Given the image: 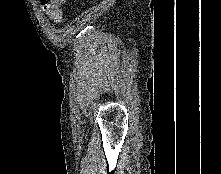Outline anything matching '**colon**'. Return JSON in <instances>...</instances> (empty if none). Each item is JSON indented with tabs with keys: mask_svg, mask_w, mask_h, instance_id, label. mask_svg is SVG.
I'll return each instance as SVG.
<instances>
[{
	"mask_svg": "<svg viewBox=\"0 0 221 174\" xmlns=\"http://www.w3.org/2000/svg\"><path fill=\"white\" fill-rule=\"evenodd\" d=\"M67 0H40L41 6L46 10L49 18L58 23L62 19L61 6Z\"/></svg>",
	"mask_w": 221,
	"mask_h": 174,
	"instance_id": "1",
	"label": "colon"
}]
</instances>
